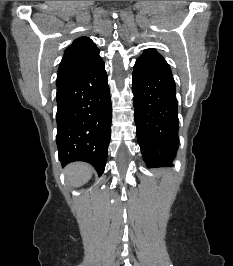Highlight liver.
I'll return each mask as SVG.
<instances>
[{"label": "liver", "instance_id": "1", "mask_svg": "<svg viewBox=\"0 0 233 266\" xmlns=\"http://www.w3.org/2000/svg\"><path fill=\"white\" fill-rule=\"evenodd\" d=\"M64 172L68 183L73 187H79L89 181L93 170L87 163L75 162L69 164Z\"/></svg>", "mask_w": 233, "mask_h": 266}]
</instances>
